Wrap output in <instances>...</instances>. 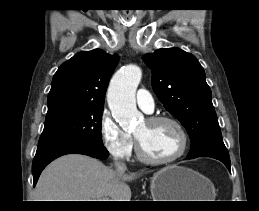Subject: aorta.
Segmentation results:
<instances>
[{"label": "aorta", "instance_id": "762f6f07", "mask_svg": "<svg viewBox=\"0 0 259 211\" xmlns=\"http://www.w3.org/2000/svg\"><path fill=\"white\" fill-rule=\"evenodd\" d=\"M141 77L140 67L128 65L114 74L109 85L108 106L113 118L125 131L133 129L142 116L135 101V92Z\"/></svg>", "mask_w": 259, "mask_h": 211}]
</instances>
